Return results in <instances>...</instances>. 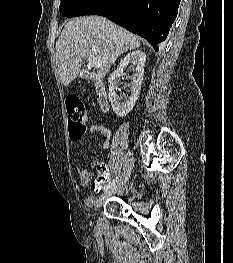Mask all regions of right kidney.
Masks as SVG:
<instances>
[{
	"label": "right kidney",
	"mask_w": 233,
	"mask_h": 263,
	"mask_svg": "<svg viewBox=\"0 0 233 263\" xmlns=\"http://www.w3.org/2000/svg\"><path fill=\"white\" fill-rule=\"evenodd\" d=\"M146 62V54L140 50L128 53L121 59L117 69L111 74L108 79L109 83V101L112 109L119 117L126 116L134 107L138 100L141 85L144 76V67ZM130 65V66H129ZM129 66L134 73L129 76L131 83L129 85V96H118L117 88L120 82V77L124 75V69Z\"/></svg>",
	"instance_id": "ca27d5eb"
}]
</instances>
